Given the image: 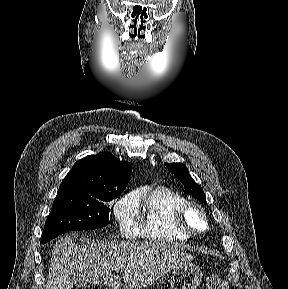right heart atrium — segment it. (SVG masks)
I'll use <instances>...</instances> for the list:
<instances>
[{
	"instance_id": "right-heart-atrium-1",
	"label": "right heart atrium",
	"mask_w": 288,
	"mask_h": 289,
	"mask_svg": "<svg viewBox=\"0 0 288 289\" xmlns=\"http://www.w3.org/2000/svg\"><path fill=\"white\" fill-rule=\"evenodd\" d=\"M114 215L119 230L124 236L133 237L137 234V216L131 195H125L117 201L114 206Z\"/></svg>"
}]
</instances>
